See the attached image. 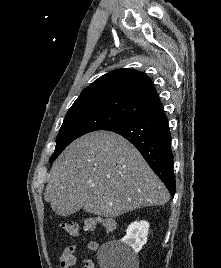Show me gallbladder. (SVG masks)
Here are the masks:
<instances>
[{"label": "gallbladder", "mask_w": 221, "mask_h": 268, "mask_svg": "<svg viewBox=\"0 0 221 268\" xmlns=\"http://www.w3.org/2000/svg\"><path fill=\"white\" fill-rule=\"evenodd\" d=\"M82 206L79 199H55L52 202V213H58L59 217H70V213L81 210Z\"/></svg>", "instance_id": "bac80fb5"}]
</instances>
